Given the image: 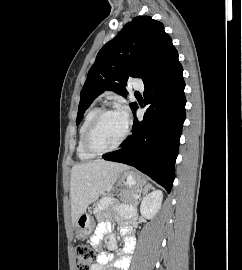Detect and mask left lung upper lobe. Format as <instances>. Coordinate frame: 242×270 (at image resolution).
<instances>
[{
  "label": "left lung upper lobe",
  "instance_id": "obj_1",
  "mask_svg": "<svg viewBox=\"0 0 242 270\" xmlns=\"http://www.w3.org/2000/svg\"><path fill=\"white\" fill-rule=\"evenodd\" d=\"M178 57L172 40L161 22L139 16L98 52L80 93L76 123L93 100L105 90L126 96L129 77L148 80L157 70ZM136 103H131L132 111Z\"/></svg>",
  "mask_w": 242,
  "mask_h": 270
}]
</instances>
